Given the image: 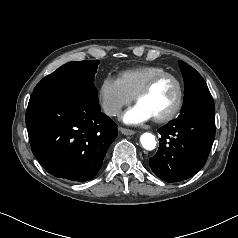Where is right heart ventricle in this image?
Masks as SVG:
<instances>
[{
  "label": "right heart ventricle",
  "mask_w": 238,
  "mask_h": 238,
  "mask_svg": "<svg viewBox=\"0 0 238 238\" xmlns=\"http://www.w3.org/2000/svg\"><path fill=\"white\" fill-rule=\"evenodd\" d=\"M164 72L166 70L162 67L143 65L122 71L117 79L124 91L133 98L150 78Z\"/></svg>",
  "instance_id": "e07e8e85"
}]
</instances>
